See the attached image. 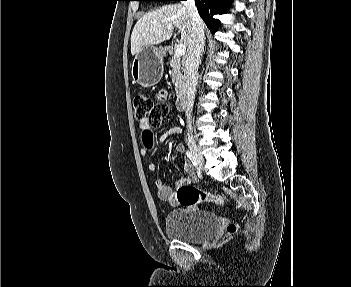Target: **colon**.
Returning <instances> with one entry per match:
<instances>
[{"label": "colon", "mask_w": 351, "mask_h": 287, "mask_svg": "<svg viewBox=\"0 0 351 287\" xmlns=\"http://www.w3.org/2000/svg\"><path fill=\"white\" fill-rule=\"evenodd\" d=\"M172 97L171 93L166 91L159 92L157 100L154 101L149 95L138 93L134 97V109L139 119L148 118L150 127H159L163 119L168 115V99ZM177 201L183 206H192L194 204H224L225 199L221 196L208 193L197 189L192 185H182L177 190ZM235 224H230L227 228V234L230 235L236 231Z\"/></svg>", "instance_id": "1"}]
</instances>
